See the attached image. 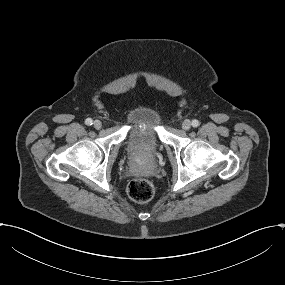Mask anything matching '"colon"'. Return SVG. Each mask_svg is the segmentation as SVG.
Wrapping results in <instances>:
<instances>
[{
  "mask_svg": "<svg viewBox=\"0 0 285 285\" xmlns=\"http://www.w3.org/2000/svg\"><path fill=\"white\" fill-rule=\"evenodd\" d=\"M127 194L136 203H147L154 196V186L146 179H134L127 186Z\"/></svg>",
  "mask_w": 285,
  "mask_h": 285,
  "instance_id": "5ec220e1",
  "label": "colon"
}]
</instances>
